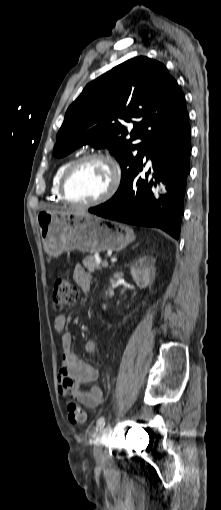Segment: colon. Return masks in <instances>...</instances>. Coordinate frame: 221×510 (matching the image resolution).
Listing matches in <instances>:
<instances>
[{
	"label": "colon",
	"mask_w": 221,
	"mask_h": 510,
	"mask_svg": "<svg viewBox=\"0 0 221 510\" xmlns=\"http://www.w3.org/2000/svg\"><path fill=\"white\" fill-rule=\"evenodd\" d=\"M78 290L68 277L56 278L53 285L52 302L56 311L64 309L76 301ZM68 419L72 424H83L86 420V414L83 408L74 400L66 401Z\"/></svg>",
	"instance_id": "colon-1"
}]
</instances>
